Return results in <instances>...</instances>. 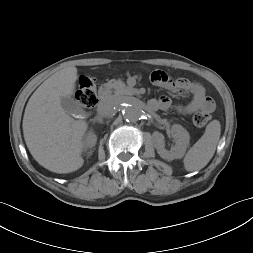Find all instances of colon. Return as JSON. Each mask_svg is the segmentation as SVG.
I'll return each instance as SVG.
<instances>
[{
	"mask_svg": "<svg viewBox=\"0 0 253 253\" xmlns=\"http://www.w3.org/2000/svg\"><path fill=\"white\" fill-rule=\"evenodd\" d=\"M77 101L83 108H92L97 103L96 83L94 78L82 76L79 81V90L77 92ZM210 120L208 112H197L193 116V124L198 127H204Z\"/></svg>",
	"mask_w": 253,
	"mask_h": 253,
	"instance_id": "5ec220e1",
	"label": "colon"
}]
</instances>
